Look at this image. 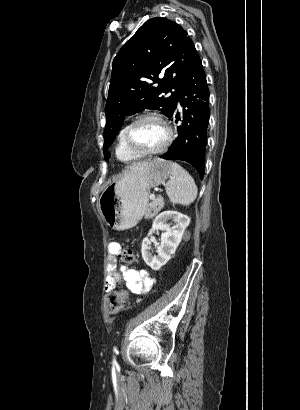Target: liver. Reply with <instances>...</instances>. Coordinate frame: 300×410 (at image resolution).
Instances as JSON below:
<instances>
[{
    "label": "liver",
    "instance_id": "1",
    "mask_svg": "<svg viewBox=\"0 0 300 410\" xmlns=\"http://www.w3.org/2000/svg\"><path fill=\"white\" fill-rule=\"evenodd\" d=\"M146 163H147V162L134 163L130 168H132V167H138V166L144 165V164H146Z\"/></svg>",
    "mask_w": 300,
    "mask_h": 410
}]
</instances>
